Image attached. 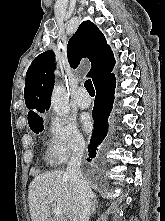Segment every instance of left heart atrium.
Listing matches in <instances>:
<instances>
[{
    "label": "left heart atrium",
    "mask_w": 165,
    "mask_h": 221,
    "mask_svg": "<svg viewBox=\"0 0 165 221\" xmlns=\"http://www.w3.org/2000/svg\"><path fill=\"white\" fill-rule=\"evenodd\" d=\"M83 124H84L86 131H88V132L91 131L92 121H91L90 117H85L83 120Z\"/></svg>",
    "instance_id": "left-heart-atrium-1"
}]
</instances>
